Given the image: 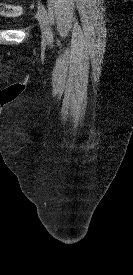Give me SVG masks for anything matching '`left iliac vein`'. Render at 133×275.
<instances>
[{
  "mask_svg": "<svg viewBox=\"0 0 133 275\" xmlns=\"http://www.w3.org/2000/svg\"><path fill=\"white\" fill-rule=\"evenodd\" d=\"M36 18H37L40 28H41L42 39L44 41H48L49 33L51 31L48 21L45 19V17L43 16V14L40 11H37Z\"/></svg>",
  "mask_w": 133,
  "mask_h": 275,
  "instance_id": "obj_1",
  "label": "left iliac vein"
}]
</instances>
